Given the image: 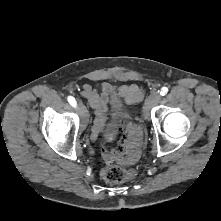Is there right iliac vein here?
<instances>
[{
    "label": "right iliac vein",
    "instance_id": "obj_1",
    "mask_svg": "<svg viewBox=\"0 0 221 221\" xmlns=\"http://www.w3.org/2000/svg\"><path fill=\"white\" fill-rule=\"evenodd\" d=\"M78 111L81 116V127L84 129L88 123V111L82 103L78 104Z\"/></svg>",
    "mask_w": 221,
    "mask_h": 221
}]
</instances>
